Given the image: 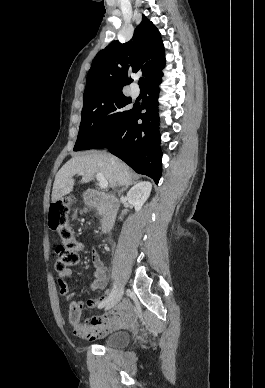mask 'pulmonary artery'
Wrapping results in <instances>:
<instances>
[{
  "mask_svg": "<svg viewBox=\"0 0 265 388\" xmlns=\"http://www.w3.org/2000/svg\"><path fill=\"white\" fill-rule=\"evenodd\" d=\"M132 95H135L136 94V92L134 91V90H131V92H130Z\"/></svg>",
  "mask_w": 265,
  "mask_h": 388,
  "instance_id": "pulmonary-artery-1",
  "label": "pulmonary artery"
}]
</instances>
